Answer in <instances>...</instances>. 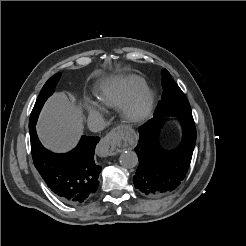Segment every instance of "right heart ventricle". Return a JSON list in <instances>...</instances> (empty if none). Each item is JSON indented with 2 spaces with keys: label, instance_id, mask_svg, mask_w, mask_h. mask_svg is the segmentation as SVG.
I'll return each instance as SVG.
<instances>
[{
  "label": "right heart ventricle",
  "instance_id": "obj_1",
  "mask_svg": "<svg viewBox=\"0 0 246 246\" xmlns=\"http://www.w3.org/2000/svg\"><path fill=\"white\" fill-rule=\"evenodd\" d=\"M145 87V80L137 75L112 78L100 85L96 91V97L98 102L104 107L118 108Z\"/></svg>",
  "mask_w": 246,
  "mask_h": 246
}]
</instances>
